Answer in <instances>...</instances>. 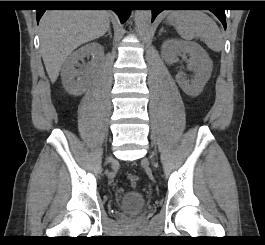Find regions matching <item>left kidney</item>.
Masks as SVG:
<instances>
[{
    "mask_svg": "<svg viewBox=\"0 0 265 245\" xmlns=\"http://www.w3.org/2000/svg\"><path fill=\"white\" fill-rule=\"evenodd\" d=\"M161 53L167 62H173L181 54H189V69L195 75L193 79L187 80L182 73H178L176 82L187 95L198 96L213 69V62L207 52L195 42L170 39L163 43Z\"/></svg>",
    "mask_w": 265,
    "mask_h": 245,
    "instance_id": "1",
    "label": "left kidney"
}]
</instances>
